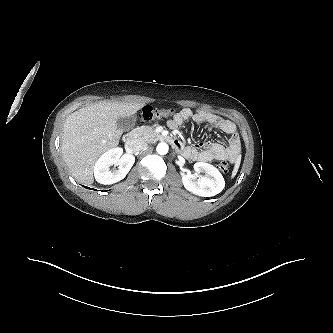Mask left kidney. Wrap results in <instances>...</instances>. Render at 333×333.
I'll list each match as a JSON object with an SVG mask.
<instances>
[{"mask_svg": "<svg viewBox=\"0 0 333 333\" xmlns=\"http://www.w3.org/2000/svg\"><path fill=\"white\" fill-rule=\"evenodd\" d=\"M196 174H182V182L184 187L202 197H211L219 194L225 187V181L219 170L211 164L197 162L194 164ZM200 173H205V176L197 179Z\"/></svg>", "mask_w": 333, "mask_h": 333, "instance_id": "5707ae66", "label": "left kidney"}]
</instances>
